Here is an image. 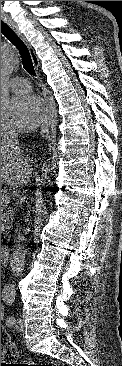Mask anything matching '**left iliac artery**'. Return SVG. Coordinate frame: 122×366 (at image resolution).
Returning a JSON list of instances; mask_svg holds the SVG:
<instances>
[{
    "mask_svg": "<svg viewBox=\"0 0 122 366\" xmlns=\"http://www.w3.org/2000/svg\"><path fill=\"white\" fill-rule=\"evenodd\" d=\"M5 299H6L7 304H11L13 302V298H11V297H7ZM15 321L16 320L13 316H8L7 319H6V323L9 326H13L15 324Z\"/></svg>",
    "mask_w": 122,
    "mask_h": 366,
    "instance_id": "44dca946",
    "label": "left iliac artery"
}]
</instances>
